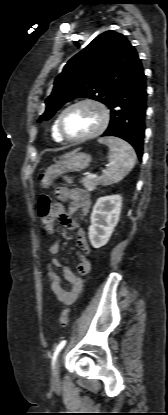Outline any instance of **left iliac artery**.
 <instances>
[{
    "instance_id": "1",
    "label": "left iliac artery",
    "mask_w": 168,
    "mask_h": 415,
    "mask_svg": "<svg viewBox=\"0 0 168 415\" xmlns=\"http://www.w3.org/2000/svg\"><path fill=\"white\" fill-rule=\"evenodd\" d=\"M65 344H66V340H63V341H61V342L58 344V346L56 347L55 352H54L53 357H52V365H54V363H55V361H56V358H57V356H58L59 352H60V351H61V349L65 346Z\"/></svg>"
}]
</instances>
